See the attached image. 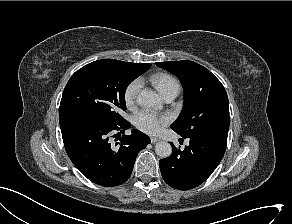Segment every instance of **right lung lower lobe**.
<instances>
[{"label":"right lung lower lobe","instance_id":"obj_1","mask_svg":"<svg viewBox=\"0 0 292 224\" xmlns=\"http://www.w3.org/2000/svg\"><path fill=\"white\" fill-rule=\"evenodd\" d=\"M65 150L78 170L90 181L105 187L118 186L131 176L140 150L151 142L139 130L123 134L130 125L106 126L80 113L59 115ZM112 138L120 140L112 144Z\"/></svg>","mask_w":292,"mask_h":224}]
</instances>
